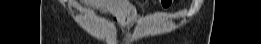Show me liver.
<instances>
[{
    "instance_id": "obj_1",
    "label": "liver",
    "mask_w": 261,
    "mask_h": 44,
    "mask_svg": "<svg viewBox=\"0 0 261 44\" xmlns=\"http://www.w3.org/2000/svg\"><path fill=\"white\" fill-rule=\"evenodd\" d=\"M86 4H90L103 12H110L120 17V19H129L130 12L136 16V9L128 0H84Z\"/></svg>"
}]
</instances>
